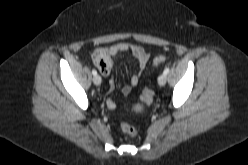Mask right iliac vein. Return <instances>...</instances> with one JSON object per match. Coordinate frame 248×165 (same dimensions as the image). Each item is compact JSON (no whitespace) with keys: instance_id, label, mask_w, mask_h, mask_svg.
Listing matches in <instances>:
<instances>
[{"instance_id":"obj_1","label":"right iliac vein","mask_w":248,"mask_h":165,"mask_svg":"<svg viewBox=\"0 0 248 165\" xmlns=\"http://www.w3.org/2000/svg\"><path fill=\"white\" fill-rule=\"evenodd\" d=\"M101 77L99 76V75H95L94 77H93V83L95 84V85H100L101 84Z\"/></svg>"}]
</instances>
